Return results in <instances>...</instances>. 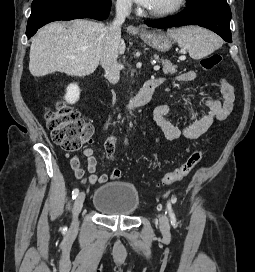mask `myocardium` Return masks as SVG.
<instances>
[{
  "mask_svg": "<svg viewBox=\"0 0 255 272\" xmlns=\"http://www.w3.org/2000/svg\"><path fill=\"white\" fill-rule=\"evenodd\" d=\"M185 4H186V0H176L174 4H172L171 6L165 9L156 10V11L148 10L147 12L150 16H153V17H166L180 11L185 6Z\"/></svg>",
  "mask_w": 255,
  "mask_h": 272,
  "instance_id": "myocardium-1",
  "label": "myocardium"
}]
</instances>
